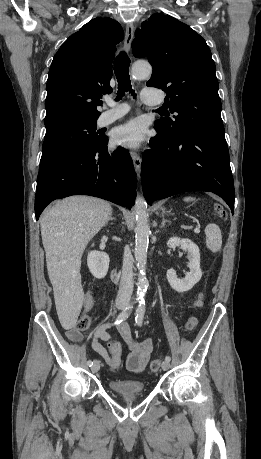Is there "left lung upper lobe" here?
Returning <instances> with one entry per match:
<instances>
[{"mask_svg":"<svg viewBox=\"0 0 261 459\" xmlns=\"http://www.w3.org/2000/svg\"><path fill=\"white\" fill-rule=\"evenodd\" d=\"M132 49L153 67L147 86L165 91L166 108L177 113L174 120L161 118L154 127L171 137L224 129L215 64L199 34L169 15L155 14L136 31Z\"/></svg>","mask_w":261,"mask_h":459,"instance_id":"5c2ea615","label":"left lung upper lobe"}]
</instances>
